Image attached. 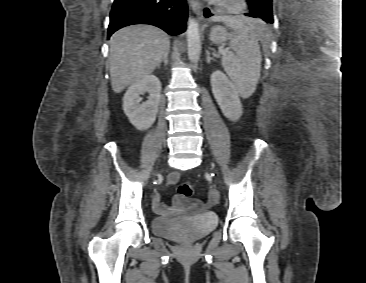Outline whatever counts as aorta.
Masks as SVG:
<instances>
[{
  "label": "aorta",
  "instance_id": "obj_1",
  "mask_svg": "<svg viewBox=\"0 0 366 283\" xmlns=\"http://www.w3.org/2000/svg\"><path fill=\"white\" fill-rule=\"evenodd\" d=\"M187 50L188 58L194 62L199 58L201 41L198 22L194 18L188 19L187 25Z\"/></svg>",
  "mask_w": 366,
  "mask_h": 283
}]
</instances>
